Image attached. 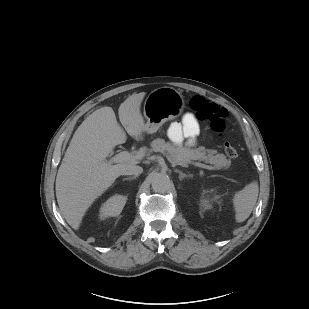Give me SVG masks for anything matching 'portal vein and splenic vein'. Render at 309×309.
<instances>
[{"label":"portal vein and splenic vein","instance_id":"obj_1","mask_svg":"<svg viewBox=\"0 0 309 309\" xmlns=\"http://www.w3.org/2000/svg\"><path fill=\"white\" fill-rule=\"evenodd\" d=\"M137 159H139V155H133L127 151H122L118 153L117 155L111 157L108 160V162L112 164V163H121V162H126V161H131V160H137ZM198 166L204 169H208V170L214 169V167L210 165L202 164V163H199Z\"/></svg>","mask_w":309,"mask_h":309}]
</instances>
